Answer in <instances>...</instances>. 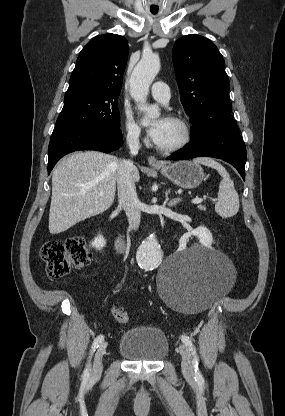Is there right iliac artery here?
Returning <instances> with one entry per match:
<instances>
[{"instance_id": "1", "label": "right iliac artery", "mask_w": 285, "mask_h": 416, "mask_svg": "<svg viewBox=\"0 0 285 416\" xmlns=\"http://www.w3.org/2000/svg\"><path fill=\"white\" fill-rule=\"evenodd\" d=\"M104 340V336L103 335H99L95 338L92 347H91V354L96 350V348L99 347V345L103 342ZM89 369H90V362H88L86 369L84 370L83 373V378L84 379H88L89 378Z\"/></svg>"}]
</instances>
